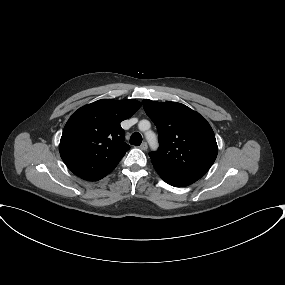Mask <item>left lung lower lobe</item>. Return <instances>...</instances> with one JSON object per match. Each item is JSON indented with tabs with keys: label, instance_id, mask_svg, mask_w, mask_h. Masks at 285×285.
Listing matches in <instances>:
<instances>
[{
	"label": "left lung lower lobe",
	"instance_id": "obj_1",
	"mask_svg": "<svg viewBox=\"0 0 285 285\" xmlns=\"http://www.w3.org/2000/svg\"><path fill=\"white\" fill-rule=\"evenodd\" d=\"M159 176L168 184L175 187L188 186L202 176L178 168H169L161 163L151 160Z\"/></svg>",
	"mask_w": 285,
	"mask_h": 285
}]
</instances>
